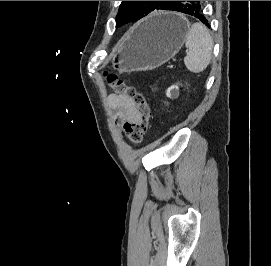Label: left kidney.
<instances>
[{
	"label": "left kidney",
	"mask_w": 271,
	"mask_h": 266,
	"mask_svg": "<svg viewBox=\"0 0 271 266\" xmlns=\"http://www.w3.org/2000/svg\"><path fill=\"white\" fill-rule=\"evenodd\" d=\"M177 89H178L177 86H173V87L169 88V89L167 90V96H170L171 91L173 92L174 90H177Z\"/></svg>",
	"instance_id": "5707ae66"
}]
</instances>
